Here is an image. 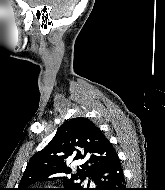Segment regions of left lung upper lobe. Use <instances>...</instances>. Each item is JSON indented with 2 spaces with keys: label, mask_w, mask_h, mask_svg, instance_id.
Returning <instances> with one entry per match:
<instances>
[{
  "label": "left lung upper lobe",
  "mask_w": 165,
  "mask_h": 190,
  "mask_svg": "<svg viewBox=\"0 0 165 190\" xmlns=\"http://www.w3.org/2000/svg\"><path fill=\"white\" fill-rule=\"evenodd\" d=\"M116 154L109 140L101 130L87 118L78 117L62 124L50 143L36 153L27 164L17 190H35L27 188L37 181L52 180L51 176L71 173L66 163L83 162L78 166L77 174L64 178L65 188L61 190H88L75 181L92 179L94 173Z\"/></svg>",
  "instance_id": "left-lung-upper-lobe-1"
}]
</instances>
